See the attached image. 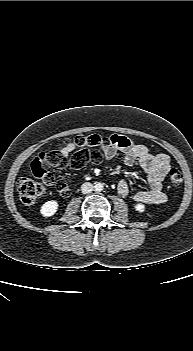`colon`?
I'll return each instance as SVG.
<instances>
[{
	"label": "colon",
	"instance_id": "colon-1",
	"mask_svg": "<svg viewBox=\"0 0 193 351\" xmlns=\"http://www.w3.org/2000/svg\"><path fill=\"white\" fill-rule=\"evenodd\" d=\"M77 151L68 159L58 152H44L36 157L32 162L34 175L41 179V182L23 177L18 180L17 189L20 199L25 204L35 203L41 197L46 186H54L62 195H68L67 183L62 179H55L46 170L47 167L80 169L89 163H99L103 159L101 150L111 146L110 137L100 135L77 136L72 142ZM169 184L172 188H178L183 175L177 167H171L168 172Z\"/></svg>",
	"mask_w": 193,
	"mask_h": 351
}]
</instances>
